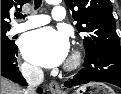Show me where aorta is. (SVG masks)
<instances>
[{"instance_id": "aorta-1", "label": "aorta", "mask_w": 121, "mask_h": 94, "mask_svg": "<svg viewBox=\"0 0 121 94\" xmlns=\"http://www.w3.org/2000/svg\"><path fill=\"white\" fill-rule=\"evenodd\" d=\"M46 2L49 4H58L61 2V0H46Z\"/></svg>"}]
</instances>
